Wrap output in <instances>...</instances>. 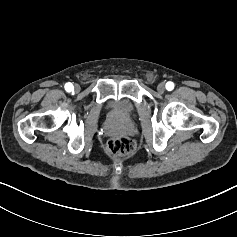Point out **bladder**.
Masks as SVG:
<instances>
[{
	"instance_id": "1",
	"label": "bladder",
	"mask_w": 237,
	"mask_h": 237,
	"mask_svg": "<svg viewBox=\"0 0 237 237\" xmlns=\"http://www.w3.org/2000/svg\"><path fill=\"white\" fill-rule=\"evenodd\" d=\"M110 108L113 113L122 117L133 116L136 112L135 104L127 99L111 102Z\"/></svg>"
}]
</instances>
